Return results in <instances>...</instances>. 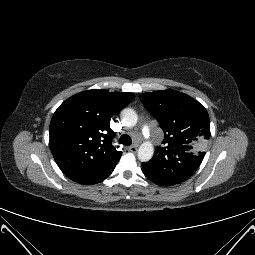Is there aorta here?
Wrapping results in <instances>:
<instances>
[{
  "label": "aorta",
  "mask_w": 255,
  "mask_h": 255,
  "mask_svg": "<svg viewBox=\"0 0 255 255\" xmlns=\"http://www.w3.org/2000/svg\"><path fill=\"white\" fill-rule=\"evenodd\" d=\"M137 114L132 109H125L121 112V120L127 126H134L137 123ZM154 154V148L151 142L142 143L138 149V159L141 162L149 161Z\"/></svg>",
  "instance_id": "aorta-1"
}]
</instances>
